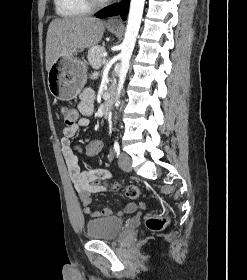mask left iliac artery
<instances>
[{
    "label": "left iliac artery",
    "mask_w": 247,
    "mask_h": 280,
    "mask_svg": "<svg viewBox=\"0 0 247 280\" xmlns=\"http://www.w3.org/2000/svg\"><path fill=\"white\" fill-rule=\"evenodd\" d=\"M114 153L117 157L120 154V145L117 140L114 142Z\"/></svg>",
    "instance_id": "obj_1"
}]
</instances>
